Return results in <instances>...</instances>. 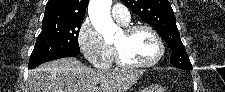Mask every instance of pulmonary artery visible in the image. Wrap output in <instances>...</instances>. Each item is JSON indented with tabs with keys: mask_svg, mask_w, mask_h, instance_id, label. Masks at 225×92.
I'll return each instance as SVG.
<instances>
[{
	"mask_svg": "<svg viewBox=\"0 0 225 92\" xmlns=\"http://www.w3.org/2000/svg\"><path fill=\"white\" fill-rule=\"evenodd\" d=\"M113 18L122 25H127L130 22L131 16L128 9L121 4H116L112 8Z\"/></svg>",
	"mask_w": 225,
	"mask_h": 92,
	"instance_id": "obj_1",
	"label": "pulmonary artery"
}]
</instances>
